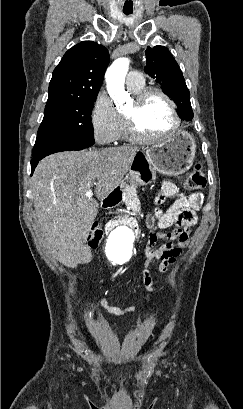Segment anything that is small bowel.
Listing matches in <instances>:
<instances>
[{"label": "small bowel", "mask_w": 243, "mask_h": 409, "mask_svg": "<svg viewBox=\"0 0 243 409\" xmlns=\"http://www.w3.org/2000/svg\"><path fill=\"white\" fill-rule=\"evenodd\" d=\"M166 198H174V203L167 209L162 210L159 206ZM203 197L199 193L190 195L179 194L178 187L170 182L164 181L162 183L161 192L156 199L158 207L155 209V217L158 227L160 229H167L176 226L170 232H153L149 236L146 247L147 260L143 269V285L149 291L146 296L148 301H152V278L149 267L155 263H159V270L161 272L169 271L178 257L182 254L183 247L188 242L192 227L197 224L198 217L196 211L201 207ZM158 241L163 244L156 246ZM98 305L102 310H107L115 315H124L129 312L136 311V307L127 306L124 308L111 306L107 301L101 298ZM160 306L156 307L154 311H158Z\"/></svg>", "instance_id": "obj_1"}]
</instances>
